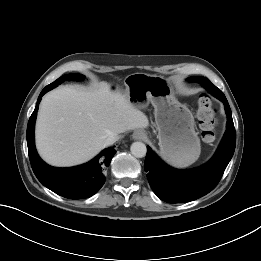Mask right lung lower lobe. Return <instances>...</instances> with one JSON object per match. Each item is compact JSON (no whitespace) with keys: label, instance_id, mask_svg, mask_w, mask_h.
<instances>
[{"label":"right lung lower lobe","instance_id":"right-lung-lower-lobe-1","mask_svg":"<svg viewBox=\"0 0 261 261\" xmlns=\"http://www.w3.org/2000/svg\"><path fill=\"white\" fill-rule=\"evenodd\" d=\"M60 83L46 86L39 95L36 108L27 126L29 158L37 179L54 193L69 199H84L94 195L104 184V172L116 153L113 147L103 150L90 162L71 168H57L47 165L38 156L34 144V126L38 105L42 96Z\"/></svg>","mask_w":261,"mask_h":261}]
</instances>
